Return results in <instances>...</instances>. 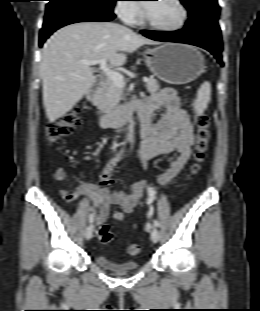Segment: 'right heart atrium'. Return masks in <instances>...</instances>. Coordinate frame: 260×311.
Masks as SVG:
<instances>
[{"label": "right heart atrium", "instance_id": "1", "mask_svg": "<svg viewBox=\"0 0 260 311\" xmlns=\"http://www.w3.org/2000/svg\"><path fill=\"white\" fill-rule=\"evenodd\" d=\"M116 13L127 23H135L141 16V7L133 1L119 0L116 7Z\"/></svg>", "mask_w": 260, "mask_h": 311}]
</instances>
